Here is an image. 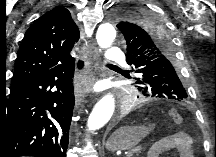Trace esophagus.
I'll return each mask as SVG.
<instances>
[{
  "mask_svg": "<svg viewBox=\"0 0 216 157\" xmlns=\"http://www.w3.org/2000/svg\"><path fill=\"white\" fill-rule=\"evenodd\" d=\"M90 61H84V65H77L76 72L81 76L83 87L80 91V96L77 98V102L83 100L85 96L92 93L94 83L97 80L96 72L99 68L100 61H99V53L97 48L91 47L90 48Z\"/></svg>",
  "mask_w": 216,
  "mask_h": 157,
  "instance_id": "1",
  "label": "esophagus"
}]
</instances>
